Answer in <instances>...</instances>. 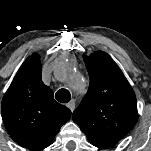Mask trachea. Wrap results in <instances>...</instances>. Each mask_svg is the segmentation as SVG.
<instances>
[{"label":"trachea","instance_id":"3493384b","mask_svg":"<svg viewBox=\"0 0 151 151\" xmlns=\"http://www.w3.org/2000/svg\"><path fill=\"white\" fill-rule=\"evenodd\" d=\"M55 98L60 103H68L71 100V94L67 89H59L56 94Z\"/></svg>","mask_w":151,"mask_h":151}]
</instances>
